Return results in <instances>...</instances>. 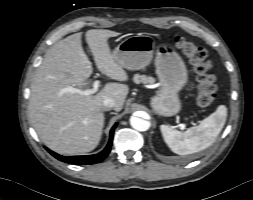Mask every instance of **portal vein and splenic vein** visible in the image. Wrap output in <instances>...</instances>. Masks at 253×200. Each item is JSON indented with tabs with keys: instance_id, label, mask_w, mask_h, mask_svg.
<instances>
[{
	"instance_id": "obj_1",
	"label": "portal vein and splenic vein",
	"mask_w": 253,
	"mask_h": 200,
	"mask_svg": "<svg viewBox=\"0 0 253 200\" xmlns=\"http://www.w3.org/2000/svg\"><path fill=\"white\" fill-rule=\"evenodd\" d=\"M98 87H99V81H95V82L93 83V88H92V89L80 91V90H78L77 88L68 86L67 88H65V91H66V92H71V93H81V94H83V95H91V94H94V93L98 90ZM182 128H183V127H182Z\"/></svg>"
}]
</instances>
